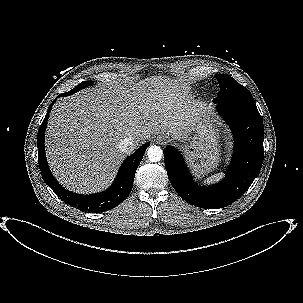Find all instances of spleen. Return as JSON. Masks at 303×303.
Listing matches in <instances>:
<instances>
[{
  "label": "spleen",
  "mask_w": 303,
  "mask_h": 303,
  "mask_svg": "<svg viewBox=\"0 0 303 303\" xmlns=\"http://www.w3.org/2000/svg\"><path fill=\"white\" fill-rule=\"evenodd\" d=\"M222 176H223L222 173H218L216 175H213L209 180L210 181H216V180H219Z\"/></svg>",
  "instance_id": "3e777b00"
}]
</instances>
